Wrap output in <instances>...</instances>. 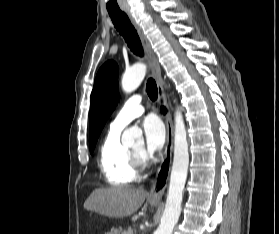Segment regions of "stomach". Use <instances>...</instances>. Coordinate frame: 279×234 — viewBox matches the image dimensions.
<instances>
[{"label": "stomach", "instance_id": "0dacf381", "mask_svg": "<svg viewBox=\"0 0 279 234\" xmlns=\"http://www.w3.org/2000/svg\"><path fill=\"white\" fill-rule=\"evenodd\" d=\"M149 203L152 206H156L159 202L158 201L149 200ZM107 234H117V232H111V233H107Z\"/></svg>", "mask_w": 279, "mask_h": 234}]
</instances>
